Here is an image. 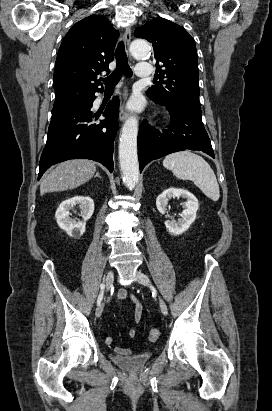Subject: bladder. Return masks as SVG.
<instances>
[{
  "instance_id": "bladder-1",
  "label": "bladder",
  "mask_w": 272,
  "mask_h": 411,
  "mask_svg": "<svg viewBox=\"0 0 272 411\" xmlns=\"http://www.w3.org/2000/svg\"><path fill=\"white\" fill-rule=\"evenodd\" d=\"M153 353L152 352H145L135 355L129 356H120L113 354L111 356V360L120 368L129 371V372H137L143 369L148 362L152 359Z\"/></svg>"
}]
</instances>
